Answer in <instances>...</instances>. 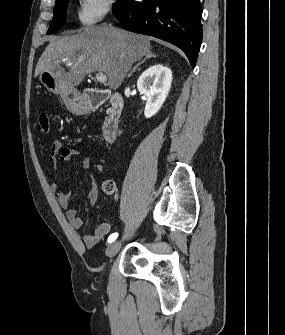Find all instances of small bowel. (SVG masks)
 Segmentation results:
<instances>
[{"instance_id":"obj_1","label":"small bowel","mask_w":285,"mask_h":335,"mask_svg":"<svg viewBox=\"0 0 285 335\" xmlns=\"http://www.w3.org/2000/svg\"><path fill=\"white\" fill-rule=\"evenodd\" d=\"M82 152L78 149L66 147L61 141L55 140L51 145L50 157L54 164L59 162H68L74 156H81ZM80 167L90 172L91 171V160L89 157H83L80 162ZM51 189L59 202L60 206L66 209V217L70 222L71 226L76 230H81L85 226L84 220L78 215L77 211L73 208H69L70 194L62 189L61 184L54 183L51 185ZM98 197V187L95 181L92 183L90 192L87 195V202L93 205ZM111 223H102L98 225L92 233L86 234L83 237V242L87 247H93L99 243L111 230Z\"/></svg>"}]
</instances>
